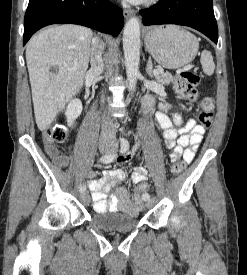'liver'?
I'll return each instance as SVG.
<instances>
[{
  "instance_id": "1",
  "label": "liver",
  "mask_w": 247,
  "mask_h": 275,
  "mask_svg": "<svg viewBox=\"0 0 247 275\" xmlns=\"http://www.w3.org/2000/svg\"><path fill=\"white\" fill-rule=\"evenodd\" d=\"M92 36L87 27L54 25L38 33L27 44L26 62L39 130L48 129L69 99L83 86Z\"/></svg>"
}]
</instances>
